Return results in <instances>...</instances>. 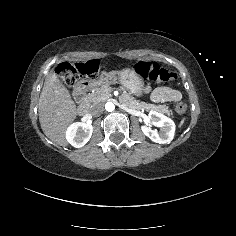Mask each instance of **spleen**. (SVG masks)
Returning a JSON list of instances; mask_svg holds the SVG:
<instances>
[{"instance_id":"spleen-1","label":"spleen","mask_w":236,"mask_h":236,"mask_svg":"<svg viewBox=\"0 0 236 236\" xmlns=\"http://www.w3.org/2000/svg\"><path fill=\"white\" fill-rule=\"evenodd\" d=\"M184 123V119L181 121L180 126Z\"/></svg>"}]
</instances>
